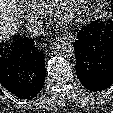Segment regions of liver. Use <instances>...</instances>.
<instances>
[{"mask_svg":"<svg viewBox=\"0 0 113 113\" xmlns=\"http://www.w3.org/2000/svg\"><path fill=\"white\" fill-rule=\"evenodd\" d=\"M19 5L16 0H0V40L8 41L18 31Z\"/></svg>","mask_w":113,"mask_h":113,"instance_id":"6515ba94","label":"liver"}]
</instances>
